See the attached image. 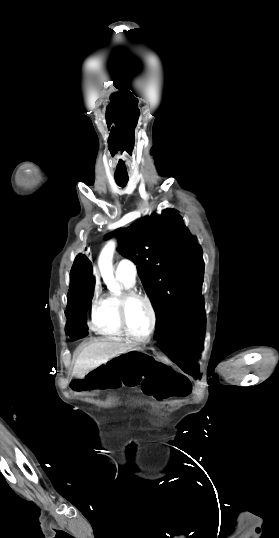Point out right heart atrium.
<instances>
[{
  "instance_id": "right-heart-atrium-1",
  "label": "right heart atrium",
  "mask_w": 279,
  "mask_h": 538,
  "mask_svg": "<svg viewBox=\"0 0 279 538\" xmlns=\"http://www.w3.org/2000/svg\"><path fill=\"white\" fill-rule=\"evenodd\" d=\"M131 221H132V220H131ZM97 296H98V293H97V292H95V297H97Z\"/></svg>"
}]
</instances>
